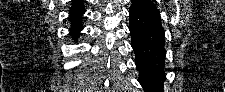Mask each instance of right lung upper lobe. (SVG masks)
Here are the masks:
<instances>
[{"instance_id":"obj_1","label":"right lung upper lobe","mask_w":225,"mask_h":92,"mask_svg":"<svg viewBox=\"0 0 225 92\" xmlns=\"http://www.w3.org/2000/svg\"><path fill=\"white\" fill-rule=\"evenodd\" d=\"M85 12L83 2L80 0H76L72 2L69 14L70 18L79 16Z\"/></svg>"}]
</instances>
